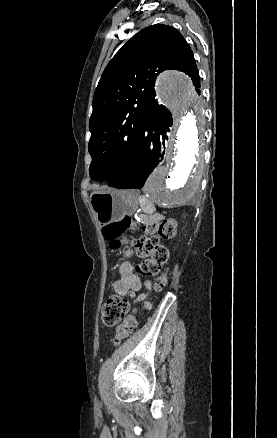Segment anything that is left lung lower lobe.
I'll use <instances>...</instances> for the list:
<instances>
[{"label":"left lung lower lobe","mask_w":277,"mask_h":438,"mask_svg":"<svg viewBox=\"0 0 277 438\" xmlns=\"http://www.w3.org/2000/svg\"><path fill=\"white\" fill-rule=\"evenodd\" d=\"M172 126L171 113L152 99L145 110L140 135L126 170L109 186L115 188H141L148 175L162 161L165 139Z\"/></svg>","instance_id":"1"}]
</instances>
